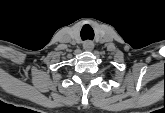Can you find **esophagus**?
Segmentation results:
<instances>
[{
    "label": "esophagus",
    "mask_w": 165,
    "mask_h": 113,
    "mask_svg": "<svg viewBox=\"0 0 165 113\" xmlns=\"http://www.w3.org/2000/svg\"><path fill=\"white\" fill-rule=\"evenodd\" d=\"M83 48L86 51H92L93 48H94V43L90 40H87V41L84 42Z\"/></svg>",
    "instance_id": "34e87169"
}]
</instances>
